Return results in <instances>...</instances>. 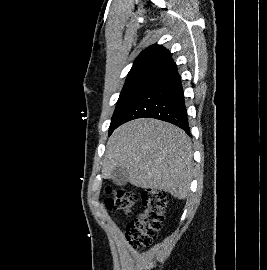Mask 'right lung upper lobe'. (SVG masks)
<instances>
[{"label": "right lung upper lobe", "mask_w": 267, "mask_h": 270, "mask_svg": "<svg viewBox=\"0 0 267 270\" xmlns=\"http://www.w3.org/2000/svg\"><path fill=\"white\" fill-rule=\"evenodd\" d=\"M172 62L173 59L167 49L161 45H151L138 55L126 81L144 75H156Z\"/></svg>", "instance_id": "right-lung-upper-lobe-1"}]
</instances>
